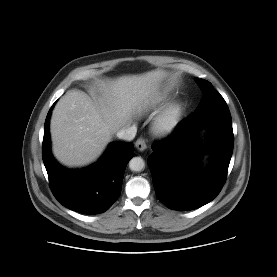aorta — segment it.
<instances>
[{"label": "aorta", "mask_w": 277, "mask_h": 277, "mask_svg": "<svg viewBox=\"0 0 277 277\" xmlns=\"http://www.w3.org/2000/svg\"><path fill=\"white\" fill-rule=\"evenodd\" d=\"M129 168L132 171L139 172L145 168V162L141 157H133L129 162Z\"/></svg>", "instance_id": "aorta-1"}]
</instances>
